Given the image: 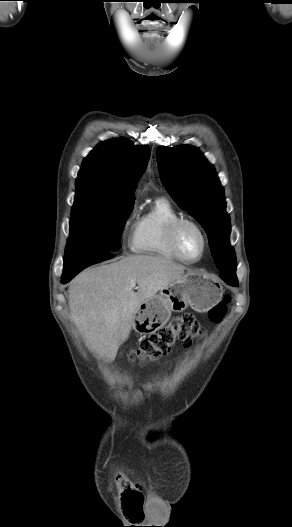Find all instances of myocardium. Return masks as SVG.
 Returning <instances> with one entry per match:
<instances>
[{"instance_id": "myocardium-1", "label": "myocardium", "mask_w": 292, "mask_h": 527, "mask_svg": "<svg viewBox=\"0 0 292 527\" xmlns=\"http://www.w3.org/2000/svg\"><path fill=\"white\" fill-rule=\"evenodd\" d=\"M184 225H191V226H193L194 228H196L198 230V232L200 233V235L202 237V241H203L202 251H201V254L199 255V257L196 258V259H189V258L185 257L182 254L181 250H180L179 243H178V234H179L180 229ZM168 243H169V246H170L171 250L173 251L175 256L180 261L188 263V264H194V263H197V262L201 261L204 258L205 254H206V252L208 250L209 239H208L206 231L204 230V228L201 226L200 223H198L196 220H194L192 218L180 217V218L176 219L175 221H173L172 224L169 227Z\"/></svg>"}]
</instances>
